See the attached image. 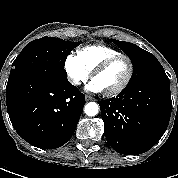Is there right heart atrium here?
<instances>
[{
  "label": "right heart atrium",
  "instance_id": "right-heart-atrium-1",
  "mask_svg": "<svg viewBox=\"0 0 178 178\" xmlns=\"http://www.w3.org/2000/svg\"><path fill=\"white\" fill-rule=\"evenodd\" d=\"M64 68L69 82L74 86H80L90 77V72L80 61L78 55H69L65 60Z\"/></svg>",
  "mask_w": 178,
  "mask_h": 178
}]
</instances>
